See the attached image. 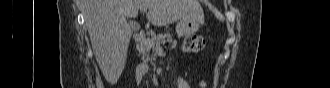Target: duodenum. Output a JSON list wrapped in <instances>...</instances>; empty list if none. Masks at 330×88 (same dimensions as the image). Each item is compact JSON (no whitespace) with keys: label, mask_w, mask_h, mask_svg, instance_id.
Instances as JSON below:
<instances>
[{"label":"duodenum","mask_w":330,"mask_h":88,"mask_svg":"<svg viewBox=\"0 0 330 88\" xmlns=\"http://www.w3.org/2000/svg\"><path fill=\"white\" fill-rule=\"evenodd\" d=\"M141 37H142V34H141L140 31H138V34H137V38L136 39L137 40H140ZM148 70H149V66L146 63L140 64L138 66V72H139L140 76L145 75L148 72Z\"/></svg>","instance_id":"410a0bca"}]
</instances>
